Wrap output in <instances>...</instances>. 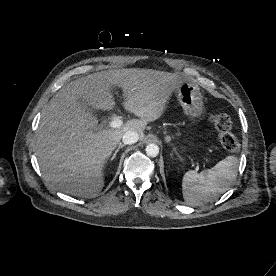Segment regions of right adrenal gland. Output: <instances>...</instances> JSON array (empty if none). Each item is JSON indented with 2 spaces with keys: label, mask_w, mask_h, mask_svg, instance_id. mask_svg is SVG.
<instances>
[{
  "label": "right adrenal gland",
  "mask_w": 276,
  "mask_h": 276,
  "mask_svg": "<svg viewBox=\"0 0 276 276\" xmlns=\"http://www.w3.org/2000/svg\"><path fill=\"white\" fill-rule=\"evenodd\" d=\"M123 147H124V144L119 143L118 148L115 150L113 156H112L111 159H110L111 161L114 160V158L116 157V155H117V153L119 152V150H120L121 148H123Z\"/></svg>",
  "instance_id": "2a0ac1e0"
}]
</instances>
